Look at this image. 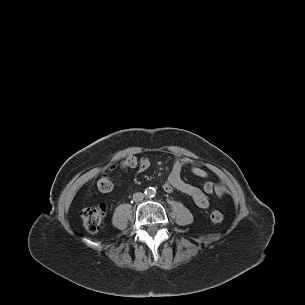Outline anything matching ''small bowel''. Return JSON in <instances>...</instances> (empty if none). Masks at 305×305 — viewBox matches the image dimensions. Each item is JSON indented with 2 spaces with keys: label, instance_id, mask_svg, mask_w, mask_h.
<instances>
[{
  "label": "small bowel",
  "instance_id": "obj_1",
  "mask_svg": "<svg viewBox=\"0 0 305 305\" xmlns=\"http://www.w3.org/2000/svg\"><path fill=\"white\" fill-rule=\"evenodd\" d=\"M172 155L174 157L173 166L167 180L163 184V189L166 192L171 193L174 190H178L185 193L190 196L195 204L200 208H207L209 206L208 195L215 193L218 197H222L225 194V190L221 185L215 184L211 181L206 182L203 189H200L183 180L182 170L187 164H190L192 173L198 177H206L207 172L201 165L190 163L189 160L181 157L177 152H172ZM150 165V160L143 157L140 159L138 171L143 172L147 170Z\"/></svg>",
  "mask_w": 305,
  "mask_h": 305
}]
</instances>
